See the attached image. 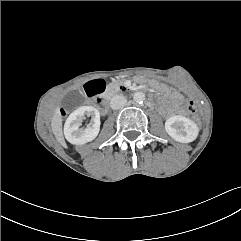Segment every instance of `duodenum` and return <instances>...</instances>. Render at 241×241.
Here are the masks:
<instances>
[{
  "instance_id": "410a0bca",
  "label": "duodenum",
  "mask_w": 241,
  "mask_h": 241,
  "mask_svg": "<svg viewBox=\"0 0 241 241\" xmlns=\"http://www.w3.org/2000/svg\"><path fill=\"white\" fill-rule=\"evenodd\" d=\"M119 90L122 91V92H125V91L130 90V87H128L125 84H122V85L119 86ZM115 92H116V89H114V88H110L106 91L104 99L102 100V106L104 107V109L108 108L109 100L115 94Z\"/></svg>"
}]
</instances>
